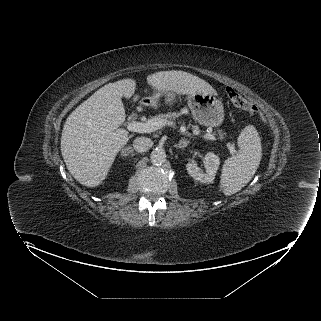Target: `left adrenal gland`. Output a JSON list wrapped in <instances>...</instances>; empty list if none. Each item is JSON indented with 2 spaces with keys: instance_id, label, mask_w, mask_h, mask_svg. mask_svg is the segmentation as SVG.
Here are the masks:
<instances>
[{
  "instance_id": "obj_1",
  "label": "left adrenal gland",
  "mask_w": 321,
  "mask_h": 321,
  "mask_svg": "<svg viewBox=\"0 0 321 321\" xmlns=\"http://www.w3.org/2000/svg\"><path fill=\"white\" fill-rule=\"evenodd\" d=\"M190 143L187 139H181L178 145H175L176 148H185Z\"/></svg>"
}]
</instances>
